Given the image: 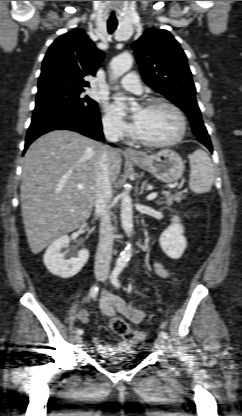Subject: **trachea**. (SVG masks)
I'll list each match as a JSON object with an SVG mask.
<instances>
[{"label":"trachea","instance_id":"trachea-1","mask_svg":"<svg viewBox=\"0 0 242 416\" xmlns=\"http://www.w3.org/2000/svg\"><path fill=\"white\" fill-rule=\"evenodd\" d=\"M117 28V23L116 22H108L107 23V29L109 34H112Z\"/></svg>","mask_w":242,"mask_h":416}]
</instances>
